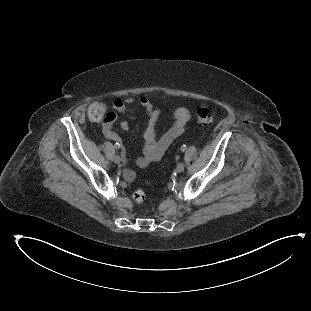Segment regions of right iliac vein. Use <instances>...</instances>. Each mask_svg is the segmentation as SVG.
Instances as JSON below:
<instances>
[{
  "label": "right iliac vein",
  "instance_id": "obj_1",
  "mask_svg": "<svg viewBox=\"0 0 311 311\" xmlns=\"http://www.w3.org/2000/svg\"><path fill=\"white\" fill-rule=\"evenodd\" d=\"M114 162L116 163V164H120V162H121V158H120V156H115L114 157Z\"/></svg>",
  "mask_w": 311,
  "mask_h": 311
}]
</instances>
